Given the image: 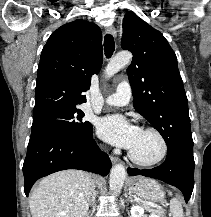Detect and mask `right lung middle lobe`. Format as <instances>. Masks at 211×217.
Wrapping results in <instances>:
<instances>
[{
	"label": "right lung middle lobe",
	"mask_w": 211,
	"mask_h": 217,
	"mask_svg": "<svg viewBox=\"0 0 211 217\" xmlns=\"http://www.w3.org/2000/svg\"><path fill=\"white\" fill-rule=\"evenodd\" d=\"M80 109L55 111L33 119L31 133L54 132L84 141L92 135V124L83 120Z\"/></svg>",
	"instance_id": "right-lung-middle-lobe-1"
}]
</instances>
